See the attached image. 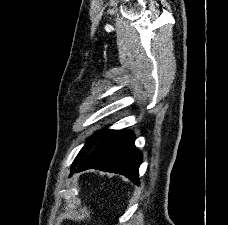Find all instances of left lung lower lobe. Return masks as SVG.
Wrapping results in <instances>:
<instances>
[{"mask_svg":"<svg viewBox=\"0 0 228 225\" xmlns=\"http://www.w3.org/2000/svg\"><path fill=\"white\" fill-rule=\"evenodd\" d=\"M135 136L131 131L106 130L90 154L80 163L77 173L86 169H98L119 173L139 185L138 169L142 154L134 145ZM74 170L71 172L73 174Z\"/></svg>","mask_w":228,"mask_h":225,"instance_id":"obj_1","label":"left lung lower lobe"}]
</instances>
